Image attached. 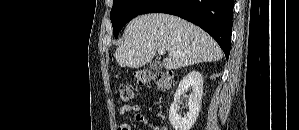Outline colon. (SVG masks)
Listing matches in <instances>:
<instances>
[{
	"label": "colon",
	"mask_w": 299,
	"mask_h": 130,
	"mask_svg": "<svg viewBox=\"0 0 299 130\" xmlns=\"http://www.w3.org/2000/svg\"><path fill=\"white\" fill-rule=\"evenodd\" d=\"M137 82L142 86L156 85L160 89H168L172 86L173 74L169 71L153 72L142 69L135 72ZM119 97L122 102H128L132 98V91L127 85L119 87Z\"/></svg>",
	"instance_id": "obj_1"
}]
</instances>
